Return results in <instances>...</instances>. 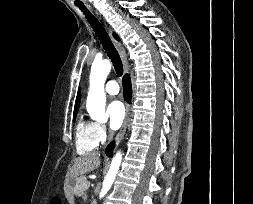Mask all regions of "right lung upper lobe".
Returning a JSON list of instances; mask_svg holds the SVG:
<instances>
[{"mask_svg":"<svg viewBox=\"0 0 253 204\" xmlns=\"http://www.w3.org/2000/svg\"><path fill=\"white\" fill-rule=\"evenodd\" d=\"M114 37L118 38V36L115 35V34H114ZM80 99H81V94H80V90H79L78 94H77L76 102H75L74 114H77V111H78V108H79Z\"/></svg>","mask_w":253,"mask_h":204,"instance_id":"1","label":"right lung upper lobe"}]
</instances>
